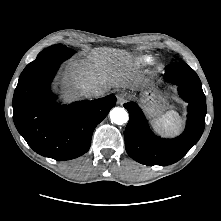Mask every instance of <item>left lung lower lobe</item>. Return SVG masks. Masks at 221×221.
I'll return each instance as SVG.
<instances>
[{
  "mask_svg": "<svg viewBox=\"0 0 221 221\" xmlns=\"http://www.w3.org/2000/svg\"><path fill=\"white\" fill-rule=\"evenodd\" d=\"M163 78L178 85L180 96L188 103L184 132L173 139H162L150 130L136 103H126L129 122L125 129V147L128 155L145 165H170L179 161L200 139L205 127L206 98L196 72L185 63L168 65Z\"/></svg>",
  "mask_w": 221,
  "mask_h": 221,
  "instance_id": "obj_1",
  "label": "left lung lower lobe"
}]
</instances>
